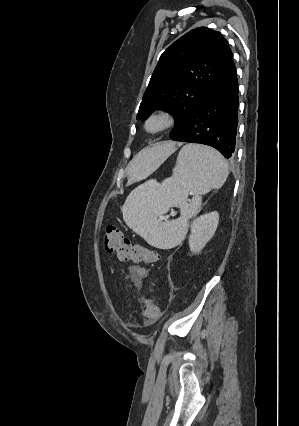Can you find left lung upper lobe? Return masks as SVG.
<instances>
[{"mask_svg":"<svg viewBox=\"0 0 299 426\" xmlns=\"http://www.w3.org/2000/svg\"><path fill=\"white\" fill-rule=\"evenodd\" d=\"M232 63V52L220 32L193 29L161 55L139 107L137 119H147L158 109L174 114L175 136L190 115L218 83Z\"/></svg>","mask_w":299,"mask_h":426,"instance_id":"5c2ea615","label":"left lung upper lobe"}]
</instances>
